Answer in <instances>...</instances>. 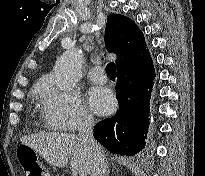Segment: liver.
<instances>
[{
	"label": "liver",
	"instance_id": "6515ba94",
	"mask_svg": "<svg viewBox=\"0 0 205 176\" xmlns=\"http://www.w3.org/2000/svg\"><path fill=\"white\" fill-rule=\"evenodd\" d=\"M21 143L55 167L64 168L70 160L72 169L91 176L92 153L74 134L41 132L22 137Z\"/></svg>",
	"mask_w": 205,
	"mask_h": 176
}]
</instances>
